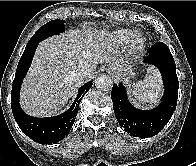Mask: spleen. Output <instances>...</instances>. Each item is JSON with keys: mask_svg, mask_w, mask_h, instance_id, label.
Here are the masks:
<instances>
[{"mask_svg": "<svg viewBox=\"0 0 196 166\" xmlns=\"http://www.w3.org/2000/svg\"><path fill=\"white\" fill-rule=\"evenodd\" d=\"M161 87L158 71L154 67H149L144 80L135 84L132 95L142 103H154L160 95Z\"/></svg>", "mask_w": 196, "mask_h": 166, "instance_id": "3e777b00", "label": "spleen"}]
</instances>
